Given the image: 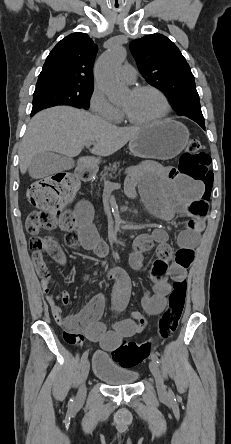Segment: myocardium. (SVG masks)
<instances>
[{
  "label": "myocardium",
  "instance_id": "1",
  "mask_svg": "<svg viewBox=\"0 0 231 444\" xmlns=\"http://www.w3.org/2000/svg\"><path fill=\"white\" fill-rule=\"evenodd\" d=\"M144 91H152V92L156 93L162 99V101L164 103V110H163L162 114L154 119L145 120V121H137V120H134L132 117H130L123 109H121L124 119L130 124L139 125V126L153 125V124H157V123L164 121L169 116V114L171 112V103H170L168 97L161 89H159L153 85H141V86H137V87H134L131 89V93H133V94H139Z\"/></svg>",
  "mask_w": 231,
  "mask_h": 444
}]
</instances>
